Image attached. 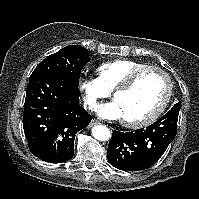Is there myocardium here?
<instances>
[{"instance_id":"myocardium-1","label":"myocardium","mask_w":199,"mask_h":199,"mask_svg":"<svg viewBox=\"0 0 199 199\" xmlns=\"http://www.w3.org/2000/svg\"><path fill=\"white\" fill-rule=\"evenodd\" d=\"M148 72H158L165 78L167 83L165 97L158 107L147 117L135 121L123 119L122 122L124 126L128 128H142L154 123L163 114L171 100L174 85L170 74L160 67L150 65L134 71L122 84L114 88L112 90L113 99H115L116 95L131 90L139 81V79Z\"/></svg>"}]
</instances>
